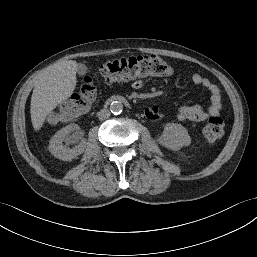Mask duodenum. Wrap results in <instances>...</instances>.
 <instances>
[{
  "label": "duodenum",
  "mask_w": 257,
  "mask_h": 257,
  "mask_svg": "<svg viewBox=\"0 0 257 257\" xmlns=\"http://www.w3.org/2000/svg\"><path fill=\"white\" fill-rule=\"evenodd\" d=\"M116 100H121V101H123L124 103H128L127 99L124 98V97H122V96H114V97H112V98L109 100V102H113V101H116Z\"/></svg>",
  "instance_id": "duodenum-1"
}]
</instances>
